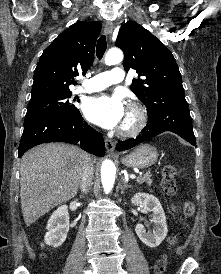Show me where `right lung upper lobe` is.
Instances as JSON below:
<instances>
[{"label":"right lung upper lobe","instance_id":"right-lung-upper-lobe-1","mask_svg":"<svg viewBox=\"0 0 221 274\" xmlns=\"http://www.w3.org/2000/svg\"><path fill=\"white\" fill-rule=\"evenodd\" d=\"M100 22H76L42 53L34 72L32 99L71 93L74 77L85 75L94 59Z\"/></svg>","mask_w":221,"mask_h":274}]
</instances>
